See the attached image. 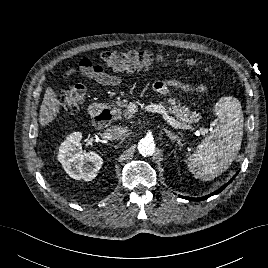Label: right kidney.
Masks as SVG:
<instances>
[{"label":"right kidney","instance_id":"obj_1","mask_svg":"<svg viewBox=\"0 0 268 268\" xmlns=\"http://www.w3.org/2000/svg\"><path fill=\"white\" fill-rule=\"evenodd\" d=\"M81 139L80 132L70 134L59 148L58 160L73 179L90 181L97 176L103 159L93 151L83 152Z\"/></svg>","mask_w":268,"mask_h":268}]
</instances>
